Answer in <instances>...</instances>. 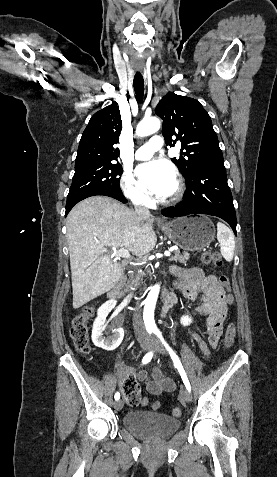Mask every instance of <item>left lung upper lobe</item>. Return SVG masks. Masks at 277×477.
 I'll list each match as a JSON object with an SVG mask.
<instances>
[{
	"label": "left lung upper lobe",
	"mask_w": 277,
	"mask_h": 477,
	"mask_svg": "<svg viewBox=\"0 0 277 477\" xmlns=\"http://www.w3.org/2000/svg\"><path fill=\"white\" fill-rule=\"evenodd\" d=\"M155 112L163 119L162 134L166 144L174 146L177 140L181 141V156L172 161L186 179L201 162L223 158L211 118L197 100L169 92L160 100Z\"/></svg>",
	"instance_id": "1"
}]
</instances>
